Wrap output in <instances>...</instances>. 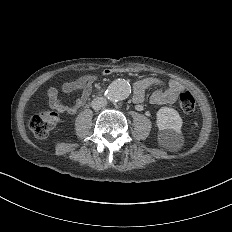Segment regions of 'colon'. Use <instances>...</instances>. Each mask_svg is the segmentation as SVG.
<instances>
[{"label":"colon","mask_w":232,"mask_h":232,"mask_svg":"<svg viewBox=\"0 0 232 232\" xmlns=\"http://www.w3.org/2000/svg\"><path fill=\"white\" fill-rule=\"evenodd\" d=\"M192 98V94H180L178 97L182 114H195L196 102H193ZM59 119L60 114L56 110L37 112L31 120H27V125H30V131H35V137H48L52 125H55Z\"/></svg>","instance_id":"obj_1"}]
</instances>
